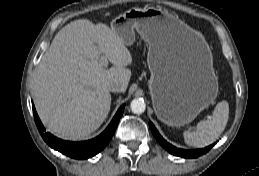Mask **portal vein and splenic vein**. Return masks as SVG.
<instances>
[{
	"instance_id": "obj_1",
	"label": "portal vein and splenic vein",
	"mask_w": 259,
	"mask_h": 176,
	"mask_svg": "<svg viewBox=\"0 0 259 176\" xmlns=\"http://www.w3.org/2000/svg\"><path fill=\"white\" fill-rule=\"evenodd\" d=\"M100 64L101 66L103 67H106L108 65V60L105 56L101 55V58H100Z\"/></svg>"
}]
</instances>
